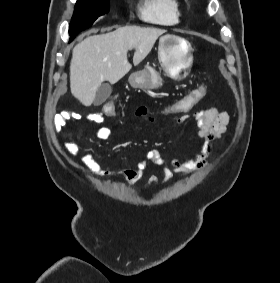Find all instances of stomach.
Here are the masks:
<instances>
[{
  "label": "stomach",
  "mask_w": 280,
  "mask_h": 283,
  "mask_svg": "<svg viewBox=\"0 0 280 283\" xmlns=\"http://www.w3.org/2000/svg\"><path fill=\"white\" fill-rule=\"evenodd\" d=\"M193 49L188 40L174 34L159 39L158 59L165 74L174 79L186 78L193 64ZM129 83L135 88L154 89L163 85L161 73L147 65L143 70L134 72Z\"/></svg>",
  "instance_id": "0dacf381"
}]
</instances>
